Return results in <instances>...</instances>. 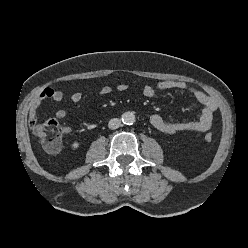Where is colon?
<instances>
[{
    "label": "colon",
    "mask_w": 248,
    "mask_h": 248,
    "mask_svg": "<svg viewBox=\"0 0 248 248\" xmlns=\"http://www.w3.org/2000/svg\"><path fill=\"white\" fill-rule=\"evenodd\" d=\"M34 133L40 138L43 148L51 154L58 153L62 148V128L55 120H49L38 124L33 129ZM206 142H211L213 136L207 133L204 136Z\"/></svg>",
    "instance_id": "1"
}]
</instances>
